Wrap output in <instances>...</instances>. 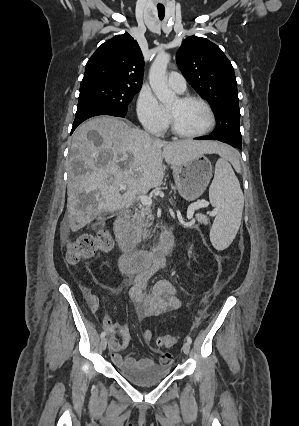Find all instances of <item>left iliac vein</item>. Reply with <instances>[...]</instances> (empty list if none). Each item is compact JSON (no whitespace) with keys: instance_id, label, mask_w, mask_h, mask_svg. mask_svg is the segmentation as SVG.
<instances>
[{"instance_id":"1","label":"left iliac vein","mask_w":299,"mask_h":426,"mask_svg":"<svg viewBox=\"0 0 299 426\" xmlns=\"http://www.w3.org/2000/svg\"><path fill=\"white\" fill-rule=\"evenodd\" d=\"M182 349H183V352H184L185 354H189V352H190V343L185 342V343L183 344Z\"/></svg>"}]
</instances>
